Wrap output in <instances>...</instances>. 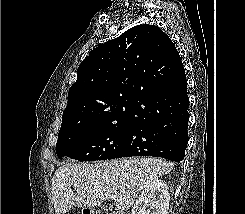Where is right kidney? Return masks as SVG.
I'll use <instances>...</instances> for the list:
<instances>
[{
	"label": "right kidney",
	"mask_w": 245,
	"mask_h": 214,
	"mask_svg": "<svg viewBox=\"0 0 245 214\" xmlns=\"http://www.w3.org/2000/svg\"><path fill=\"white\" fill-rule=\"evenodd\" d=\"M169 200L167 184L156 179L143 189L131 214H167Z\"/></svg>",
	"instance_id": "right-kidney-1"
}]
</instances>
